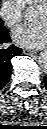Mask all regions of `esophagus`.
<instances>
[{
    "mask_svg": "<svg viewBox=\"0 0 47 129\" xmlns=\"http://www.w3.org/2000/svg\"><path fill=\"white\" fill-rule=\"evenodd\" d=\"M24 54H36V51L30 49H23Z\"/></svg>",
    "mask_w": 47,
    "mask_h": 129,
    "instance_id": "1",
    "label": "esophagus"
}]
</instances>
